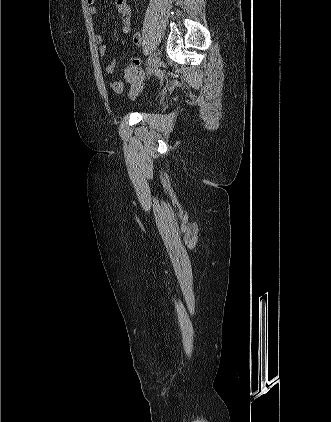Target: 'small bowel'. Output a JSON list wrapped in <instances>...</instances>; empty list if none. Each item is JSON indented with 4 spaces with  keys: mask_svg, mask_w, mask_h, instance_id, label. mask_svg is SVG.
Segmentation results:
<instances>
[{
    "mask_svg": "<svg viewBox=\"0 0 331 422\" xmlns=\"http://www.w3.org/2000/svg\"><path fill=\"white\" fill-rule=\"evenodd\" d=\"M88 3V11L91 16H94L97 14L98 9L96 5V0H87ZM115 6L117 11L121 15L122 24H123V33L129 34L131 31V8L129 4L127 3V0H115ZM94 40L98 46V52L101 56H105L107 53V44L105 43L103 37L100 34H96L94 36ZM142 38L141 35L136 33L133 36V43L135 46L139 47L141 45ZM142 62L141 57L134 56L131 59V65L134 67H138ZM116 66V61L113 60L106 66L105 70L107 73H111ZM143 84V76L138 78L133 75H126L125 79L123 81H115L112 83V90L116 94H121L124 92L125 88L127 86H131V90L133 93H137L141 88Z\"/></svg>",
    "mask_w": 331,
    "mask_h": 422,
    "instance_id": "obj_1",
    "label": "small bowel"
}]
</instances>
